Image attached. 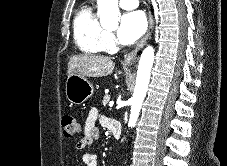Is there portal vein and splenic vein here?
<instances>
[{
	"label": "portal vein and splenic vein",
	"instance_id": "18ae733b",
	"mask_svg": "<svg viewBox=\"0 0 227 166\" xmlns=\"http://www.w3.org/2000/svg\"><path fill=\"white\" fill-rule=\"evenodd\" d=\"M114 105V102L109 103V107H112Z\"/></svg>",
	"mask_w": 227,
	"mask_h": 166
}]
</instances>
